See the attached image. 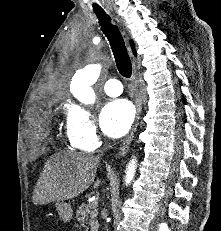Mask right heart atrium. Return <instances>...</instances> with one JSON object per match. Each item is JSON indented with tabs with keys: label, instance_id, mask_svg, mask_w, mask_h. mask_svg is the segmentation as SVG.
Returning a JSON list of instances; mask_svg holds the SVG:
<instances>
[{
	"label": "right heart atrium",
	"instance_id": "1",
	"mask_svg": "<svg viewBox=\"0 0 221 231\" xmlns=\"http://www.w3.org/2000/svg\"><path fill=\"white\" fill-rule=\"evenodd\" d=\"M68 134L83 150H93L99 144V134L92 112L85 106L73 105L69 109Z\"/></svg>",
	"mask_w": 221,
	"mask_h": 231
}]
</instances>
